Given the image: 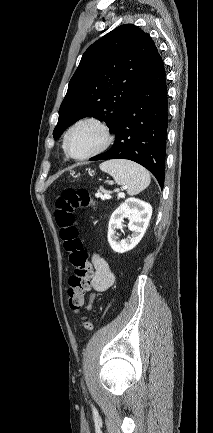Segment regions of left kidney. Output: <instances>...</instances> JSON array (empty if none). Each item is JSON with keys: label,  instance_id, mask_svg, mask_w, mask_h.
I'll use <instances>...</instances> for the list:
<instances>
[{"label": "left kidney", "instance_id": "left-kidney-1", "mask_svg": "<svg viewBox=\"0 0 213 433\" xmlns=\"http://www.w3.org/2000/svg\"><path fill=\"white\" fill-rule=\"evenodd\" d=\"M152 215L150 204L137 199L128 198L112 214L108 226V242L117 253H125L133 249L143 238ZM124 217L129 218L128 228L133 232L131 237L118 240L117 229L122 228Z\"/></svg>", "mask_w": 213, "mask_h": 433}]
</instances>
